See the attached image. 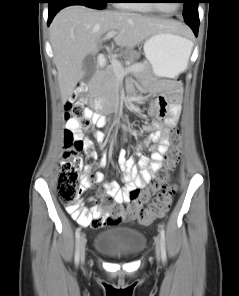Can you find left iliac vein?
Instances as JSON below:
<instances>
[{
  "label": "left iliac vein",
  "mask_w": 239,
  "mask_h": 296,
  "mask_svg": "<svg viewBox=\"0 0 239 296\" xmlns=\"http://www.w3.org/2000/svg\"><path fill=\"white\" fill-rule=\"evenodd\" d=\"M156 258L159 261L161 258V248H160V242L159 239H156Z\"/></svg>",
  "instance_id": "4c4485c4"
}]
</instances>
